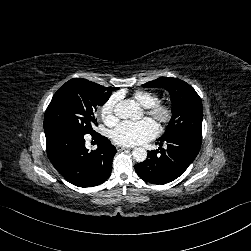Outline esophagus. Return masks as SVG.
<instances>
[{"instance_id": "esophagus-1", "label": "esophagus", "mask_w": 251, "mask_h": 251, "mask_svg": "<svg viewBox=\"0 0 251 251\" xmlns=\"http://www.w3.org/2000/svg\"><path fill=\"white\" fill-rule=\"evenodd\" d=\"M118 151H123V150H128L129 148L124 147V146H117L116 147Z\"/></svg>"}]
</instances>
